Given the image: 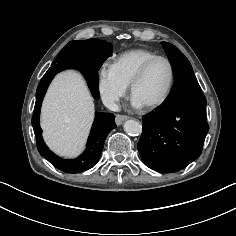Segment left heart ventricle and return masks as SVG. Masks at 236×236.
Listing matches in <instances>:
<instances>
[{"label": "left heart ventricle", "mask_w": 236, "mask_h": 236, "mask_svg": "<svg viewBox=\"0 0 236 236\" xmlns=\"http://www.w3.org/2000/svg\"><path fill=\"white\" fill-rule=\"evenodd\" d=\"M170 79V69L165 61L155 62L137 86L134 97L142 105L158 100L166 91Z\"/></svg>", "instance_id": "left-heart-ventricle-1"}]
</instances>
